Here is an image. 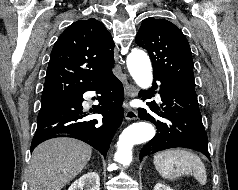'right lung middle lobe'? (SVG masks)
I'll list each match as a JSON object with an SVG mask.
<instances>
[{"label": "right lung middle lobe", "instance_id": "dd1d6c3e", "mask_svg": "<svg viewBox=\"0 0 238 190\" xmlns=\"http://www.w3.org/2000/svg\"><path fill=\"white\" fill-rule=\"evenodd\" d=\"M67 100H63V101H59V102H53V103H41V109L46 108V107H50V106H53V105H56V104H59V103H62V102H65Z\"/></svg>", "mask_w": 238, "mask_h": 190}]
</instances>
